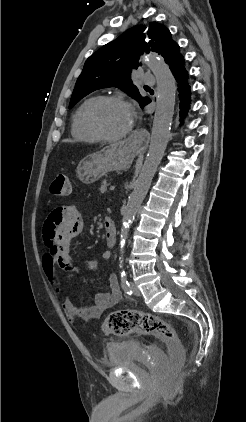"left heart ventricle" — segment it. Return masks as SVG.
Returning <instances> with one entry per match:
<instances>
[{
    "label": "left heart ventricle",
    "instance_id": "left-heart-ventricle-1",
    "mask_svg": "<svg viewBox=\"0 0 246 422\" xmlns=\"http://www.w3.org/2000/svg\"><path fill=\"white\" fill-rule=\"evenodd\" d=\"M95 119L100 129L109 135H117L125 131L132 120L128 107L119 103H106L95 114Z\"/></svg>",
    "mask_w": 246,
    "mask_h": 422
}]
</instances>
